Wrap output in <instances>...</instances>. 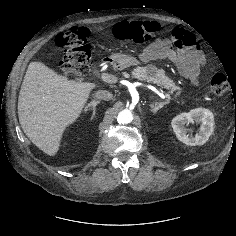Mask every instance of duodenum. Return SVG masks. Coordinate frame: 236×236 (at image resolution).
I'll return each mask as SVG.
<instances>
[{"label":"duodenum","instance_id":"obj_1","mask_svg":"<svg viewBox=\"0 0 236 236\" xmlns=\"http://www.w3.org/2000/svg\"><path fill=\"white\" fill-rule=\"evenodd\" d=\"M102 65H113L114 61L111 58H105L102 60Z\"/></svg>","mask_w":236,"mask_h":236}]
</instances>
